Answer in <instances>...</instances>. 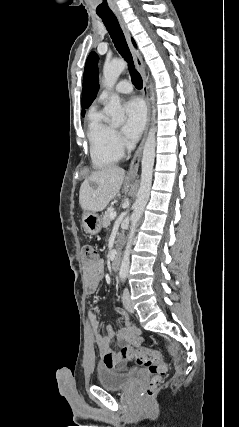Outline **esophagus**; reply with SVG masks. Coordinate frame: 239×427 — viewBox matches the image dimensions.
Here are the masks:
<instances>
[{
    "label": "esophagus",
    "instance_id": "1",
    "mask_svg": "<svg viewBox=\"0 0 239 427\" xmlns=\"http://www.w3.org/2000/svg\"><path fill=\"white\" fill-rule=\"evenodd\" d=\"M116 18L120 24V27L125 35L126 41L128 43L129 49L131 51V54L133 56V59L135 61V64L137 66V69L142 77V81H143V88H142V92H143V97L145 99L146 102V106H147V125H146V129H145V133L143 136V139L130 163V167L129 170L127 172V178L132 179L135 178L137 171H138V167H139V162L142 156V151H143V147H144V143L146 140V136H147V132H148V127H149V119H150V104H149V98H148V87H147V80H146V76H145V68H144V63H143V59L141 54L139 53V51L134 47L132 41H131V36H130V32L129 29L127 27V24L122 16V14L120 12H116L115 13Z\"/></svg>",
    "mask_w": 239,
    "mask_h": 427
}]
</instances>
